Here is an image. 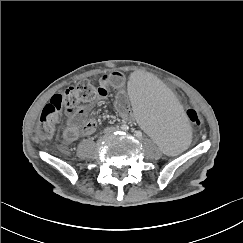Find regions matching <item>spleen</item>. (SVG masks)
Here are the masks:
<instances>
[{"label":"spleen","mask_w":243,"mask_h":243,"mask_svg":"<svg viewBox=\"0 0 243 243\" xmlns=\"http://www.w3.org/2000/svg\"><path fill=\"white\" fill-rule=\"evenodd\" d=\"M128 99L137 127L161 152L177 155L190 146L192 125L177 96L160 77L150 72L136 74L128 85Z\"/></svg>","instance_id":"3e777b00"}]
</instances>
